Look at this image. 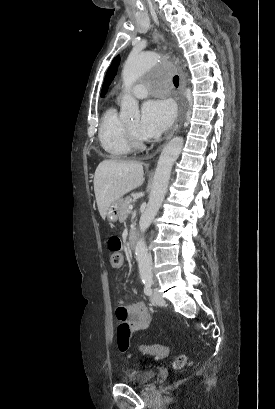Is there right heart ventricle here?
Instances as JSON below:
<instances>
[{"label": "right heart ventricle", "instance_id": "obj_1", "mask_svg": "<svg viewBox=\"0 0 275 409\" xmlns=\"http://www.w3.org/2000/svg\"><path fill=\"white\" fill-rule=\"evenodd\" d=\"M125 125L115 108L108 109L101 118L98 132L99 142L105 153L111 157L126 156L131 152Z\"/></svg>", "mask_w": 275, "mask_h": 409}]
</instances>
